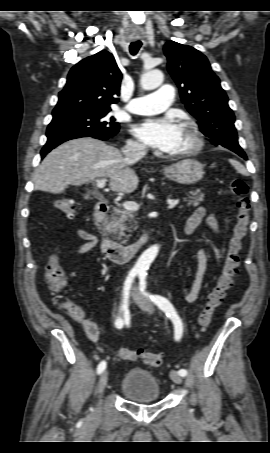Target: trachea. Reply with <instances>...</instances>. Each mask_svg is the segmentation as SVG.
<instances>
[{
  "label": "trachea",
  "mask_w": 270,
  "mask_h": 453,
  "mask_svg": "<svg viewBox=\"0 0 270 453\" xmlns=\"http://www.w3.org/2000/svg\"><path fill=\"white\" fill-rule=\"evenodd\" d=\"M141 45H142V43L139 40L132 42L130 44V46H129V50H130L131 55L135 56L138 53Z\"/></svg>",
  "instance_id": "trachea-1"
}]
</instances>
